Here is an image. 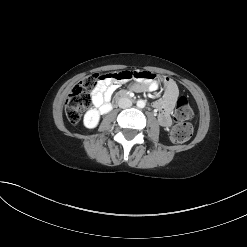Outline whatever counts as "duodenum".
<instances>
[{
    "instance_id": "410a0bca",
    "label": "duodenum",
    "mask_w": 247,
    "mask_h": 247,
    "mask_svg": "<svg viewBox=\"0 0 247 247\" xmlns=\"http://www.w3.org/2000/svg\"><path fill=\"white\" fill-rule=\"evenodd\" d=\"M129 93H128V91L127 90H125V89H122V90H120V92L118 93H115V95H114V98H113V101H112V108H117V106H118V103H119V99L120 98H127V97H129V95H128ZM109 112V111H108Z\"/></svg>"
}]
</instances>
